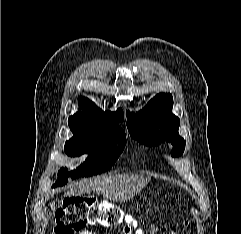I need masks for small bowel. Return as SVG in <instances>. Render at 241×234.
I'll list each match as a JSON object with an SVG mask.
<instances>
[{"mask_svg":"<svg viewBox=\"0 0 241 234\" xmlns=\"http://www.w3.org/2000/svg\"><path fill=\"white\" fill-rule=\"evenodd\" d=\"M79 234H93L91 231L83 230Z\"/></svg>","mask_w":241,"mask_h":234,"instance_id":"small-bowel-1","label":"small bowel"}]
</instances>
